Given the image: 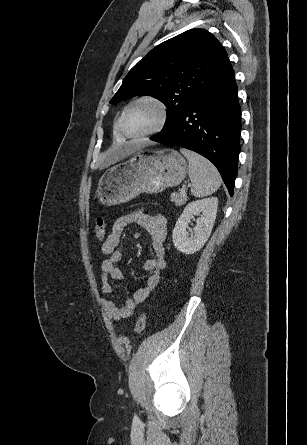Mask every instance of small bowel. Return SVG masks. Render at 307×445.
Instances as JSON below:
<instances>
[{
	"label": "small bowel",
	"instance_id": "small-bowel-1",
	"mask_svg": "<svg viewBox=\"0 0 307 445\" xmlns=\"http://www.w3.org/2000/svg\"><path fill=\"white\" fill-rule=\"evenodd\" d=\"M132 223L141 226L150 237L153 257L144 264L145 269L150 272V276L146 285L135 291L133 296L127 299L123 305L120 306L113 299L102 300V306L107 316L113 320L130 317L156 288L165 268L166 217L158 212L148 214L142 209L130 211L116 219L110 234L101 245V252L106 256L101 263L100 286L102 292L106 295L111 294L113 292L111 280L120 281L123 279V273L118 267L123 257L121 235L124 228Z\"/></svg>",
	"mask_w": 307,
	"mask_h": 445
}]
</instances>
